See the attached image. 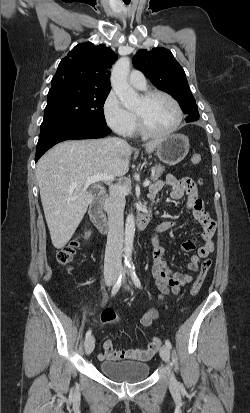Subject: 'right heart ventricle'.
<instances>
[{"instance_id":"right-heart-ventricle-1","label":"right heart ventricle","mask_w":250,"mask_h":413,"mask_svg":"<svg viewBox=\"0 0 250 413\" xmlns=\"http://www.w3.org/2000/svg\"><path fill=\"white\" fill-rule=\"evenodd\" d=\"M131 114H132V118H133V128H132L131 134H134L138 131V124H137V119H136L135 113L131 112Z\"/></svg>"}]
</instances>
